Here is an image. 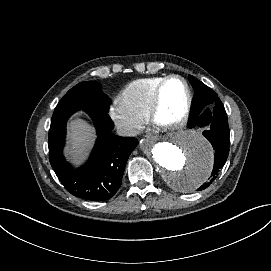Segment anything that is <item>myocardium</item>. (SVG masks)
<instances>
[{
  "mask_svg": "<svg viewBox=\"0 0 271 271\" xmlns=\"http://www.w3.org/2000/svg\"><path fill=\"white\" fill-rule=\"evenodd\" d=\"M173 79H178L184 83L187 89V102L183 111L173 119H164L162 117L163 110V92L166 85ZM194 105L193 90L188 80L179 75L171 74L166 76L161 83L157 86L153 93L152 109H151V121L158 127L163 129H178L183 126L190 118Z\"/></svg>",
  "mask_w": 271,
  "mask_h": 271,
  "instance_id": "myocardium-1",
  "label": "myocardium"
}]
</instances>
